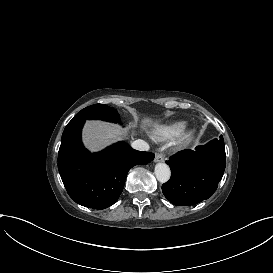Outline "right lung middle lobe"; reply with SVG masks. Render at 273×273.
<instances>
[{"mask_svg":"<svg viewBox=\"0 0 273 273\" xmlns=\"http://www.w3.org/2000/svg\"><path fill=\"white\" fill-rule=\"evenodd\" d=\"M100 119L111 122H119V114L113 107L105 104H94L82 109L72 120ZM71 120V121H72Z\"/></svg>","mask_w":273,"mask_h":273,"instance_id":"dd1d6c3e","label":"right lung middle lobe"}]
</instances>
